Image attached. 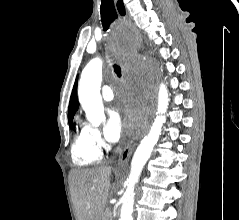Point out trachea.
Masks as SVG:
<instances>
[{
	"label": "trachea",
	"instance_id": "3493384b",
	"mask_svg": "<svg viewBox=\"0 0 239 220\" xmlns=\"http://www.w3.org/2000/svg\"><path fill=\"white\" fill-rule=\"evenodd\" d=\"M101 21L104 31L108 30L110 24L117 18V12L113 0H101ZM118 77H121V68L117 64L113 65Z\"/></svg>",
	"mask_w": 239,
	"mask_h": 220
}]
</instances>
